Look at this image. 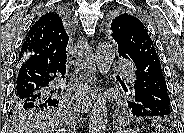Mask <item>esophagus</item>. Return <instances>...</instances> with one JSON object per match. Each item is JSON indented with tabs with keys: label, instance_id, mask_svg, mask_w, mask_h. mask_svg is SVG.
I'll return each mask as SVG.
<instances>
[{
	"label": "esophagus",
	"instance_id": "esophagus-1",
	"mask_svg": "<svg viewBox=\"0 0 184 133\" xmlns=\"http://www.w3.org/2000/svg\"><path fill=\"white\" fill-rule=\"evenodd\" d=\"M80 50H79V62L80 68L83 71V79L85 80V91L83 93V97L80 100V108L82 112H89L92 106V100L98 95L100 92L95 87L96 81V66L94 63V55L92 48L90 47L88 41L81 40L79 42Z\"/></svg>",
	"mask_w": 184,
	"mask_h": 133
}]
</instances>
